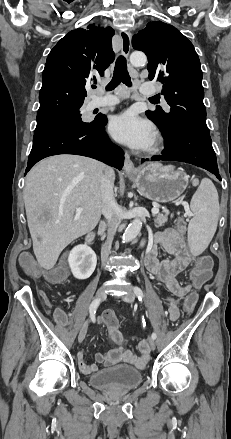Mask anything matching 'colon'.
I'll list each match as a JSON object with an SVG mask.
<instances>
[{
	"label": "colon",
	"mask_w": 231,
	"mask_h": 439,
	"mask_svg": "<svg viewBox=\"0 0 231 439\" xmlns=\"http://www.w3.org/2000/svg\"><path fill=\"white\" fill-rule=\"evenodd\" d=\"M178 230L181 233H184L186 230V221L184 219H180L177 223ZM21 265L24 270L32 276H44L51 283H61L67 277V268L65 264L57 265L56 267L48 270L47 272H43L34 259L30 255H23L21 257ZM213 267V260L208 255H200L196 257L194 262V267L191 272V278L193 282L194 291H188L183 295V310L186 315H193V311L195 310V306L198 300L199 290L204 285H208L211 281V270Z\"/></svg>",
	"instance_id": "colon-1"
}]
</instances>
